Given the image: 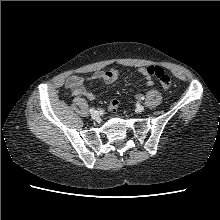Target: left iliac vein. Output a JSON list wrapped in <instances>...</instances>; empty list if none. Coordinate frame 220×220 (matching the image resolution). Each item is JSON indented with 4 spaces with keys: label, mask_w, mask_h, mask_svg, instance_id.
I'll use <instances>...</instances> for the list:
<instances>
[{
    "label": "left iliac vein",
    "mask_w": 220,
    "mask_h": 220,
    "mask_svg": "<svg viewBox=\"0 0 220 220\" xmlns=\"http://www.w3.org/2000/svg\"><path fill=\"white\" fill-rule=\"evenodd\" d=\"M136 111L137 112H143L144 111V106L143 105H137V107H136Z\"/></svg>",
    "instance_id": "4c4485c4"
}]
</instances>
